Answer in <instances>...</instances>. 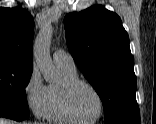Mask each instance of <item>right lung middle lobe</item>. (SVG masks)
<instances>
[{
  "label": "right lung middle lobe",
  "mask_w": 156,
  "mask_h": 124,
  "mask_svg": "<svg viewBox=\"0 0 156 124\" xmlns=\"http://www.w3.org/2000/svg\"><path fill=\"white\" fill-rule=\"evenodd\" d=\"M33 68L0 64V103L28 107L25 88Z\"/></svg>",
  "instance_id": "dd1d6c3e"
}]
</instances>
